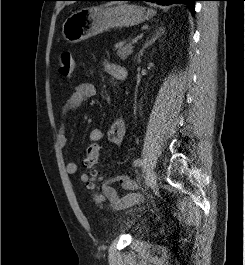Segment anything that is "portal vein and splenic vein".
<instances>
[{"label":"portal vein and splenic vein","instance_id":"portal-vein-and-splenic-vein-1","mask_svg":"<svg viewBox=\"0 0 245 265\" xmlns=\"http://www.w3.org/2000/svg\"><path fill=\"white\" fill-rule=\"evenodd\" d=\"M138 42V39H134L133 41H132V44H136Z\"/></svg>","mask_w":245,"mask_h":265}]
</instances>
